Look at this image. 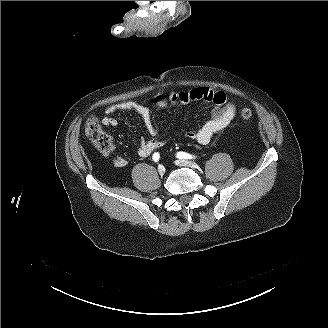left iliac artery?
I'll return each mask as SVG.
<instances>
[{
    "mask_svg": "<svg viewBox=\"0 0 328 328\" xmlns=\"http://www.w3.org/2000/svg\"><path fill=\"white\" fill-rule=\"evenodd\" d=\"M176 157L179 159H192L193 158L192 155L185 153V152H178Z\"/></svg>",
    "mask_w": 328,
    "mask_h": 328,
    "instance_id": "obj_1",
    "label": "left iliac artery"
}]
</instances>
